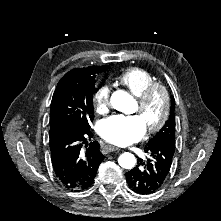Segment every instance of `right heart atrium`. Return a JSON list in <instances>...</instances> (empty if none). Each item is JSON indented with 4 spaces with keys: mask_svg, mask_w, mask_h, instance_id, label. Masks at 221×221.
<instances>
[{
    "mask_svg": "<svg viewBox=\"0 0 221 221\" xmlns=\"http://www.w3.org/2000/svg\"><path fill=\"white\" fill-rule=\"evenodd\" d=\"M92 104L98 113H105L110 106V89L107 85L98 87L92 95Z\"/></svg>",
    "mask_w": 221,
    "mask_h": 221,
    "instance_id": "1",
    "label": "right heart atrium"
}]
</instances>
